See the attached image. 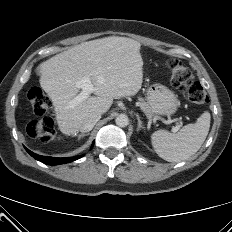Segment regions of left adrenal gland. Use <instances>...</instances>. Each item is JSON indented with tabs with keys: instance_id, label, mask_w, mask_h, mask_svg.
I'll list each match as a JSON object with an SVG mask.
<instances>
[{
	"instance_id": "obj_1",
	"label": "left adrenal gland",
	"mask_w": 232,
	"mask_h": 232,
	"mask_svg": "<svg viewBox=\"0 0 232 232\" xmlns=\"http://www.w3.org/2000/svg\"><path fill=\"white\" fill-rule=\"evenodd\" d=\"M137 120H138V127L137 131L139 132L141 129H144L145 127L142 125V121L140 120V117L138 114H136Z\"/></svg>"
}]
</instances>
